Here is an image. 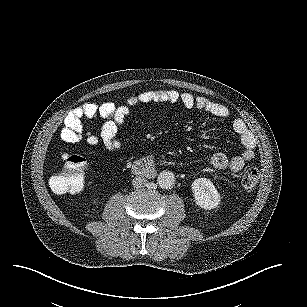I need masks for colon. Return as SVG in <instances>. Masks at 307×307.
<instances>
[{"label": "colon", "mask_w": 307, "mask_h": 307, "mask_svg": "<svg viewBox=\"0 0 307 307\" xmlns=\"http://www.w3.org/2000/svg\"><path fill=\"white\" fill-rule=\"evenodd\" d=\"M86 140L89 144L94 145L98 138L92 133H87ZM85 173V159L77 155L66 154L63 167L50 179V187L56 194L78 193L84 188ZM259 175L260 171L257 166H247L242 173V187L246 190L254 188L259 180Z\"/></svg>", "instance_id": "1"}]
</instances>
